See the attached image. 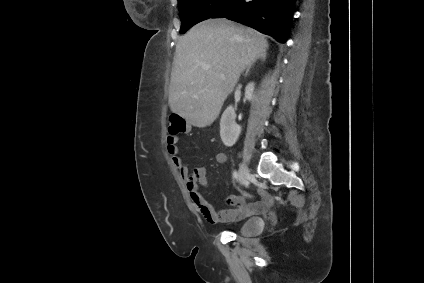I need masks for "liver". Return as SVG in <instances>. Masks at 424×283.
I'll return each mask as SVG.
<instances>
[{
  "mask_svg": "<svg viewBox=\"0 0 424 283\" xmlns=\"http://www.w3.org/2000/svg\"><path fill=\"white\" fill-rule=\"evenodd\" d=\"M268 47L264 35L233 21L208 19L198 23L176 45L168 100L171 111L195 127L210 125L240 74L266 54ZM203 65H210V69Z\"/></svg>",
  "mask_w": 424,
  "mask_h": 283,
  "instance_id": "liver-1",
  "label": "liver"
}]
</instances>
